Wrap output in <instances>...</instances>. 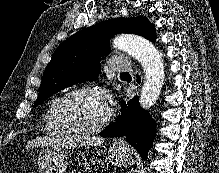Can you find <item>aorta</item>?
Listing matches in <instances>:
<instances>
[{"label": "aorta", "mask_w": 219, "mask_h": 173, "mask_svg": "<svg viewBox=\"0 0 219 173\" xmlns=\"http://www.w3.org/2000/svg\"><path fill=\"white\" fill-rule=\"evenodd\" d=\"M112 47L129 53L141 63L145 71V81L141 88L139 102L143 109L151 108L160 95L164 81L161 54L148 40L132 34L115 37Z\"/></svg>", "instance_id": "obj_1"}]
</instances>
